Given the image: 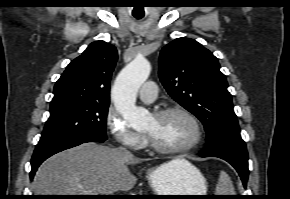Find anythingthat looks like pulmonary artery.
Masks as SVG:
<instances>
[{"label": "pulmonary artery", "instance_id": "1", "mask_svg": "<svg viewBox=\"0 0 290 199\" xmlns=\"http://www.w3.org/2000/svg\"><path fill=\"white\" fill-rule=\"evenodd\" d=\"M139 98L145 103H152L157 98V86L154 82L144 83L138 91Z\"/></svg>", "mask_w": 290, "mask_h": 199}]
</instances>
